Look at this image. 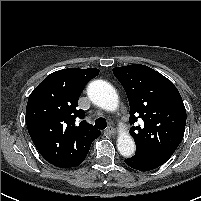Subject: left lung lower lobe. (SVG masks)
<instances>
[{
    "label": "left lung lower lobe",
    "instance_id": "obj_1",
    "mask_svg": "<svg viewBox=\"0 0 201 201\" xmlns=\"http://www.w3.org/2000/svg\"><path fill=\"white\" fill-rule=\"evenodd\" d=\"M171 156H150L142 157L134 155L125 160V163L133 169L139 171H150L165 163Z\"/></svg>",
    "mask_w": 201,
    "mask_h": 201
}]
</instances>
